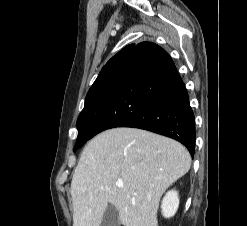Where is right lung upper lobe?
I'll return each mask as SVG.
<instances>
[{"label": "right lung upper lobe", "instance_id": "cb5924a9", "mask_svg": "<svg viewBox=\"0 0 247 226\" xmlns=\"http://www.w3.org/2000/svg\"><path fill=\"white\" fill-rule=\"evenodd\" d=\"M135 44H131L123 48L121 51H119L114 57H112L107 64L102 68L101 72L99 73L98 77L101 76L109 66L112 65L116 60H119L121 57L128 56L130 55L131 51L134 49ZM97 77V78H98Z\"/></svg>", "mask_w": 247, "mask_h": 226}]
</instances>
